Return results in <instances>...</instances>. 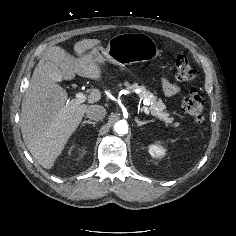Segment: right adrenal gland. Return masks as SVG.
<instances>
[{
  "label": "right adrenal gland",
  "mask_w": 236,
  "mask_h": 236,
  "mask_svg": "<svg viewBox=\"0 0 236 236\" xmlns=\"http://www.w3.org/2000/svg\"><path fill=\"white\" fill-rule=\"evenodd\" d=\"M85 124H91V125L95 126L97 123L90 121V120H84L81 125L84 126Z\"/></svg>",
  "instance_id": "right-adrenal-gland-1"
}]
</instances>
